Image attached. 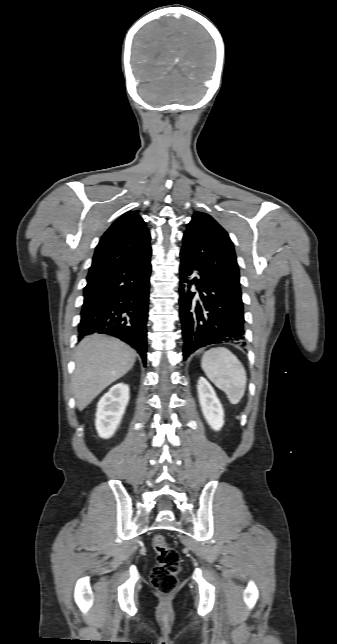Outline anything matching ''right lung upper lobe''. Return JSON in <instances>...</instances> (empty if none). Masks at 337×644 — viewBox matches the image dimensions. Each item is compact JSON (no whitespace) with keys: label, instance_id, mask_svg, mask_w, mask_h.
Instances as JSON below:
<instances>
[{"label":"right lung upper lobe","instance_id":"right-lung-upper-lobe-1","mask_svg":"<svg viewBox=\"0 0 337 644\" xmlns=\"http://www.w3.org/2000/svg\"><path fill=\"white\" fill-rule=\"evenodd\" d=\"M151 255L150 233L138 211L122 215L104 233L96 247L87 281L124 264L139 263Z\"/></svg>","mask_w":337,"mask_h":644}]
</instances>
